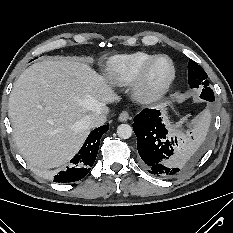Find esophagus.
<instances>
[{
  "instance_id": "34e87169",
  "label": "esophagus",
  "mask_w": 233,
  "mask_h": 233,
  "mask_svg": "<svg viewBox=\"0 0 233 233\" xmlns=\"http://www.w3.org/2000/svg\"><path fill=\"white\" fill-rule=\"evenodd\" d=\"M130 118L129 113L127 111H122L119 115L120 122H126Z\"/></svg>"
}]
</instances>
